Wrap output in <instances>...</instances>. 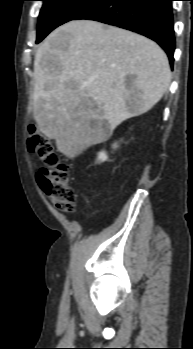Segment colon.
<instances>
[{
	"instance_id": "colon-1",
	"label": "colon",
	"mask_w": 193,
	"mask_h": 349,
	"mask_svg": "<svg viewBox=\"0 0 193 349\" xmlns=\"http://www.w3.org/2000/svg\"><path fill=\"white\" fill-rule=\"evenodd\" d=\"M27 146L44 165L37 172L42 190L59 209L72 211L76 204V194L70 184L69 166L60 160L52 141L34 125H30Z\"/></svg>"
}]
</instances>
